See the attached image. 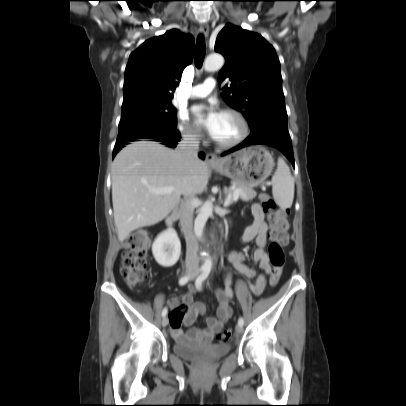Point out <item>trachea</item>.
<instances>
[{"label":"trachea","mask_w":406,"mask_h":406,"mask_svg":"<svg viewBox=\"0 0 406 406\" xmlns=\"http://www.w3.org/2000/svg\"><path fill=\"white\" fill-rule=\"evenodd\" d=\"M205 53H206V47H205L204 37L202 34H200L197 38V43H196V47H195V55H194L195 65L197 68L202 67Z\"/></svg>","instance_id":"1"}]
</instances>
